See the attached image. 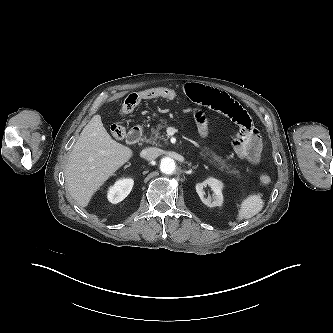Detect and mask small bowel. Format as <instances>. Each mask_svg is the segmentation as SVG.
Here are the masks:
<instances>
[{"instance_id":"obj_1","label":"small bowel","mask_w":333,"mask_h":333,"mask_svg":"<svg viewBox=\"0 0 333 333\" xmlns=\"http://www.w3.org/2000/svg\"><path fill=\"white\" fill-rule=\"evenodd\" d=\"M183 92L194 103L218 111L235 122L239 126V132L232 141L234 152L252 164L259 162L262 152L261 137L251 117L238 102L225 92L197 83L186 84ZM194 115L198 133L205 137L208 134L207 118L201 110H195Z\"/></svg>"}]
</instances>
